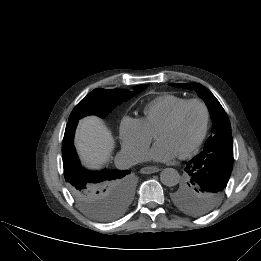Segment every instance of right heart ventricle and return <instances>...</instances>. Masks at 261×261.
<instances>
[{
  "label": "right heart ventricle",
  "instance_id": "right-heart-ventricle-1",
  "mask_svg": "<svg viewBox=\"0 0 261 261\" xmlns=\"http://www.w3.org/2000/svg\"><path fill=\"white\" fill-rule=\"evenodd\" d=\"M186 100V97L176 94L159 95L144 107L140 120L147 130L154 134L173 111Z\"/></svg>",
  "mask_w": 261,
  "mask_h": 261
}]
</instances>
